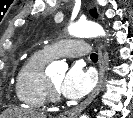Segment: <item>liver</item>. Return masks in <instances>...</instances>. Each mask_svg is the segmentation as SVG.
Masks as SVG:
<instances>
[{"mask_svg": "<svg viewBox=\"0 0 133 118\" xmlns=\"http://www.w3.org/2000/svg\"><path fill=\"white\" fill-rule=\"evenodd\" d=\"M46 118L43 112H38L32 109L13 108L6 110L2 114V118Z\"/></svg>", "mask_w": 133, "mask_h": 118, "instance_id": "liver-1", "label": "liver"}]
</instances>
